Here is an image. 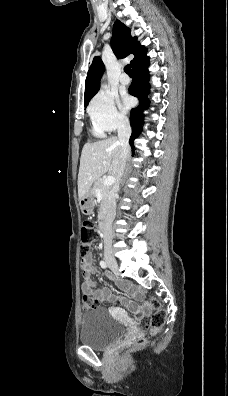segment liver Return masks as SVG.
<instances>
[{
    "label": "liver",
    "mask_w": 228,
    "mask_h": 396,
    "mask_svg": "<svg viewBox=\"0 0 228 396\" xmlns=\"http://www.w3.org/2000/svg\"><path fill=\"white\" fill-rule=\"evenodd\" d=\"M122 161V146L117 137H110L83 146L78 173V197L81 199L92 184L105 173L117 179Z\"/></svg>",
    "instance_id": "6515ba94"
}]
</instances>
